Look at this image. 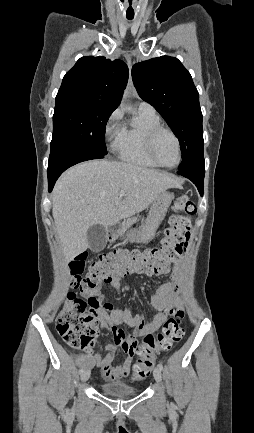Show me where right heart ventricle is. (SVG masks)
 <instances>
[{"label":"right heart ventricle","mask_w":254,"mask_h":433,"mask_svg":"<svg viewBox=\"0 0 254 433\" xmlns=\"http://www.w3.org/2000/svg\"><path fill=\"white\" fill-rule=\"evenodd\" d=\"M160 124V118L155 111L138 110L133 121L121 126L114 141L113 146L119 159L143 168H157L147 154L145 138L149 129Z\"/></svg>","instance_id":"e07e8e85"}]
</instances>
